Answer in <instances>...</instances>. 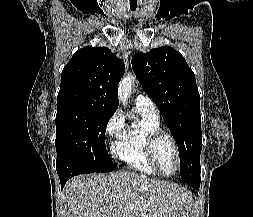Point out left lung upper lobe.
Listing matches in <instances>:
<instances>
[{
	"instance_id": "1",
	"label": "left lung upper lobe",
	"mask_w": 253,
	"mask_h": 217,
	"mask_svg": "<svg viewBox=\"0 0 253 217\" xmlns=\"http://www.w3.org/2000/svg\"><path fill=\"white\" fill-rule=\"evenodd\" d=\"M131 62L144 91L158 106L175 138L182 180L187 184L200 181V95L193 71L170 46L137 53Z\"/></svg>"
}]
</instances>
